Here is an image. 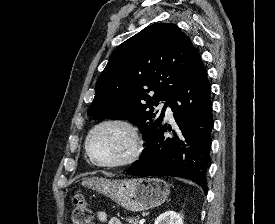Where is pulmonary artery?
Listing matches in <instances>:
<instances>
[{
	"instance_id": "pulmonary-artery-1",
	"label": "pulmonary artery",
	"mask_w": 275,
	"mask_h": 224,
	"mask_svg": "<svg viewBox=\"0 0 275 224\" xmlns=\"http://www.w3.org/2000/svg\"><path fill=\"white\" fill-rule=\"evenodd\" d=\"M165 106V102H162L158 107L159 108H162V107H164ZM166 116L168 117V118H171L172 117V111H171V108L167 105L166 106Z\"/></svg>"
}]
</instances>
